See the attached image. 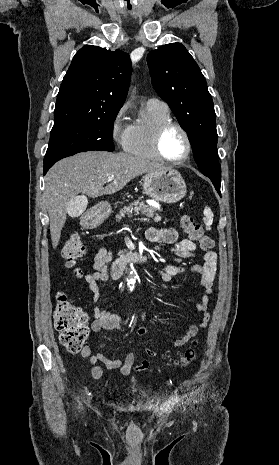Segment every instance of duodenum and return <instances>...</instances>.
<instances>
[{
  "label": "duodenum",
  "instance_id": "1",
  "mask_svg": "<svg viewBox=\"0 0 279 465\" xmlns=\"http://www.w3.org/2000/svg\"><path fill=\"white\" fill-rule=\"evenodd\" d=\"M147 258L144 254L135 251L123 252L115 262L113 275L117 279L121 275L125 266L130 262H146Z\"/></svg>",
  "mask_w": 279,
  "mask_h": 465
}]
</instances>
